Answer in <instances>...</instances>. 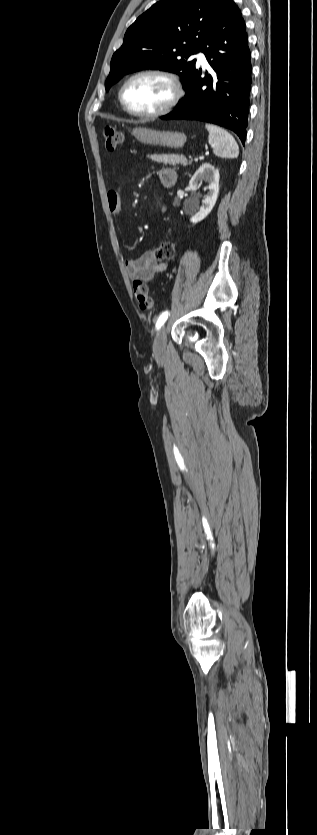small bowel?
Here are the masks:
<instances>
[{"label":"small bowel","instance_id":"c3829d8e","mask_svg":"<svg viewBox=\"0 0 317 835\" xmlns=\"http://www.w3.org/2000/svg\"><path fill=\"white\" fill-rule=\"evenodd\" d=\"M158 179L164 187L173 186L178 178L177 172L170 167H163L157 172ZM107 204L110 212L119 216L122 211L120 189H112L107 192ZM165 206H162V211ZM128 276L133 280L142 282L152 281L158 273L165 271L168 265L158 262L152 251H148L135 259H127L124 262Z\"/></svg>","mask_w":317,"mask_h":835}]
</instances>
